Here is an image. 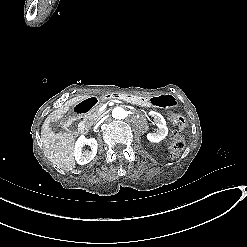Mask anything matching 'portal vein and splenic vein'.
Here are the masks:
<instances>
[{
	"instance_id": "18ae733b",
	"label": "portal vein and splenic vein",
	"mask_w": 247,
	"mask_h": 247,
	"mask_svg": "<svg viewBox=\"0 0 247 247\" xmlns=\"http://www.w3.org/2000/svg\"><path fill=\"white\" fill-rule=\"evenodd\" d=\"M111 101L114 102V103L122 104V101H119V100L113 99V98H109V99L106 100V104H104V106H102V107L100 108V111H104V109H106L107 105H109V103H110Z\"/></svg>"
}]
</instances>
